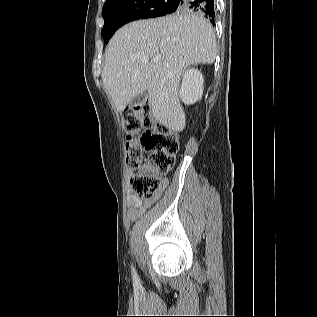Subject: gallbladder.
I'll use <instances>...</instances> for the list:
<instances>
[{
    "mask_svg": "<svg viewBox=\"0 0 317 317\" xmlns=\"http://www.w3.org/2000/svg\"><path fill=\"white\" fill-rule=\"evenodd\" d=\"M147 97L148 94L145 91L142 94L135 96L129 104L131 106L144 105L146 103Z\"/></svg>",
    "mask_w": 317,
    "mask_h": 317,
    "instance_id": "1",
    "label": "gallbladder"
}]
</instances>
